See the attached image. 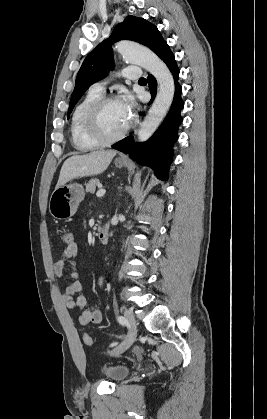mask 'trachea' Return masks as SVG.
<instances>
[{"mask_svg": "<svg viewBox=\"0 0 267 419\" xmlns=\"http://www.w3.org/2000/svg\"><path fill=\"white\" fill-rule=\"evenodd\" d=\"M139 81H140V82H142V81H146V79H145V78H140V79H139Z\"/></svg>", "mask_w": 267, "mask_h": 419, "instance_id": "obj_1", "label": "trachea"}]
</instances>
